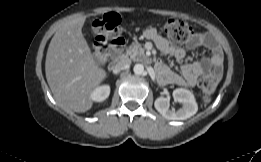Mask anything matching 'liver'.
<instances>
[{
	"instance_id": "6515ba94",
	"label": "liver",
	"mask_w": 261,
	"mask_h": 162,
	"mask_svg": "<svg viewBox=\"0 0 261 162\" xmlns=\"http://www.w3.org/2000/svg\"><path fill=\"white\" fill-rule=\"evenodd\" d=\"M81 16L65 22L50 41L45 73L55 100L65 109L83 113L92 105L91 93L106 77L94 61L83 34Z\"/></svg>"
}]
</instances>
